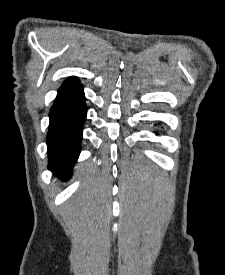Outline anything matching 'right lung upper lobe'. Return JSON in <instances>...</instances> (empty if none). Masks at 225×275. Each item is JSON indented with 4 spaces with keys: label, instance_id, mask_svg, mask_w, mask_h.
Returning <instances> with one entry per match:
<instances>
[{
    "label": "right lung upper lobe",
    "instance_id": "obj_1",
    "mask_svg": "<svg viewBox=\"0 0 225 275\" xmlns=\"http://www.w3.org/2000/svg\"><path fill=\"white\" fill-rule=\"evenodd\" d=\"M73 81H77V78L75 76H71L69 79H67L64 83L67 82H73Z\"/></svg>",
    "mask_w": 225,
    "mask_h": 275
}]
</instances>
